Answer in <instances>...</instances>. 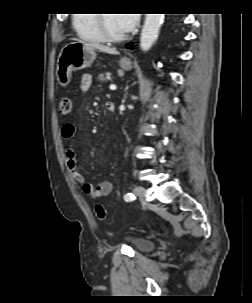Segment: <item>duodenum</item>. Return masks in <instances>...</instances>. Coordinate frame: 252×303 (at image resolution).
Returning a JSON list of instances; mask_svg holds the SVG:
<instances>
[{"label":"duodenum","mask_w":252,"mask_h":303,"mask_svg":"<svg viewBox=\"0 0 252 303\" xmlns=\"http://www.w3.org/2000/svg\"><path fill=\"white\" fill-rule=\"evenodd\" d=\"M114 108H115V106H114V103H113V102L109 101V102L106 103V109H107L108 111H113Z\"/></svg>","instance_id":"duodenum-1"}]
</instances>
